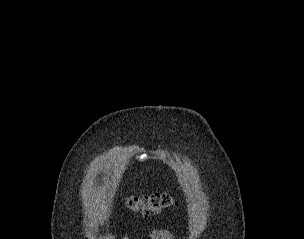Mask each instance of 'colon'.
<instances>
[{"mask_svg": "<svg viewBox=\"0 0 304 239\" xmlns=\"http://www.w3.org/2000/svg\"><path fill=\"white\" fill-rule=\"evenodd\" d=\"M125 204L132 212L149 216L173 207L176 201L171 194L152 192L130 197L125 201Z\"/></svg>", "mask_w": 304, "mask_h": 239, "instance_id": "5ec220e1", "label": "colon"}]
</instances>
